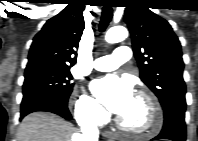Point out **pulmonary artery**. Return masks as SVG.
<instances>
[{"label":"pulmonary artery","mask_w":198,"mask_h":141,"mask_svg":"<svg viewBox=\"0 0 198 141\" xmlns=\"http://www.w3.org/2000/svg\"><path fill=\"white\" fill-rule=\"evenodd\" d=\"M131 50L128 46H118L111 55L96 58L92 67L98 71H111L129 61Z\"/></svg>","instance_id":"obj_1"}]
</instances>
